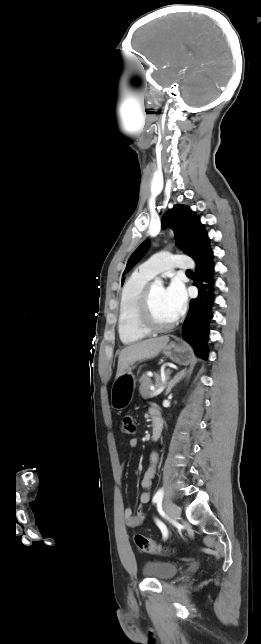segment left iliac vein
<instances>
[{"label": "left iliac vein", "mask_w": 261, "mask_h": 644, "mask_svg": "<svg viewBox=\"0 0 261 644\" xmlns=\"http://www.w3.org/2000/svg\"><path fill=\"white\" fill-rule=\"evenodd\" d=\"M165 510L171 519L177 521L180 518L181 510L179 506H177L176 504L172 502H167L165 504Z\"/></svg>", "instance_id": "obj_1"}]
</instances>
